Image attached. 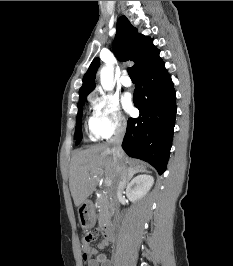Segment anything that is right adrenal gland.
<instances>
[{
	"label": "right adrenal gland",
	"instance_id": "obj_1",
	"mask_svg": "<svg viewBox=\"0 0 233 266\" xmlns=\"http://www.w3.org/2000/svg\"><path fill=\"white\" fill-rule=\"evenodd\" d=\"M144 172H145V170H135V171L130 170V171H129V174H128L127 183H126L127 187H128V185H129L130 180L132 179V177H133L134 175H136V174H138V173H144Z\"/></svg>",
	"mask_w": 233,
	"mask_h": 266
}]
</instances>
